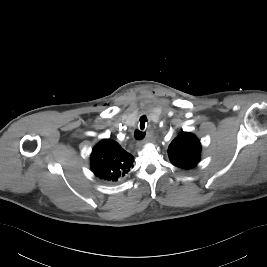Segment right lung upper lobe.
Returning a JSON list of instances; mask_svg holds the SVG:
<instances>
[{"instance_id":"right-lung-upper-lobe-1","label":"right lung upper lobe","mask_w":267,"mask_h":267,"mask_svg":"<svg viewBox=\"0 0 267 267\" xmlns=\"http://www.w3.org/2000/svg\"><path fill=\"white\" fill-rule=\"evenodd\" d=\"M91 170L98 178L113 183L131 169L134 157L111 139L101 140L91 154Z\"/></svg>"}]
</instances>
